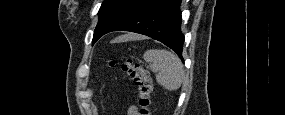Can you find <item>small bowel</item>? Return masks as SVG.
<instances>
[{
    "mask_svg": "<svg viewBox=\"0 0 285 115\" xmlns=\"http://www.w3.org/2000/svg\"><path fill=\"white\" fill-rule=\"evenodd\" d=\"M128 115H137L139 114L135 106H131L127 112Z\"/></svg>",
    "mask_w": 285,
    "mask_h": 115,
    "instance_id": "small-bowel-1",
    "label": "small bowel"
}]
</instances>
